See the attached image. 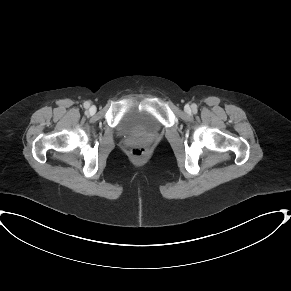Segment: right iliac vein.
Listing matches in <instances>:
<instances>
[{
  "instance_id": "obj_1",
  "label": "right iliac vein",
  "mask_w": 291,
  "mask_h": 291,
  "mask_svg": "<svg viewBox=\"0 0 291 291\" xmlns=\"http://www.w3.org/2000/svg\"><path fill=\"white\" fill-rule=\"evenodd\" d=\"M96 111V108L94 106H92L90 109H89V112L92 114V113H95Z\"/></svg>"
}]
</instances>
